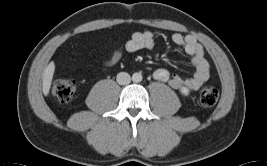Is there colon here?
<instances>
[{
  "label": "colon",
  "mask_w": 267,
  "mask_h": 166,
  "mask_svg": "<svg viewBox=\"0 0 267 166\" xmlns=\"http://www.w3.org/2000/svg\"><path fill=\"white\" fill-rule=\"evenodd\" d=\"M76 89V81L72 78L57 80L53 85V94L62 104H69ZM200 102L202 105L214 106L219 99V91L215 86L206 85L200 90Z\"/></svg>",
  "instance_id": "obj_1"
}]
</instances>
